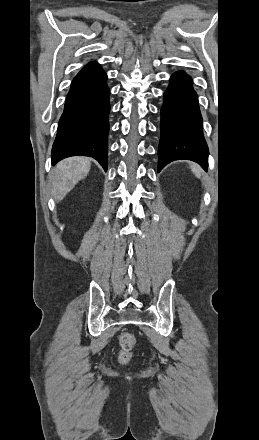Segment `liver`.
<instances>
[{"label":"liver","instance_id":"liver-1","mask_svg":"<svg viewBox=\"0 0 259 440\" xmlns=\"http://www.w3.org/2000/svg\"><path fill=\"white\" fill-rule=\"evenodd\" d=\"M91 163L87 157H70L60 161L51 174L52 194L61 201L90 171Z\"/></svg>","mask_w":259,"mask_h":440}]
</instances>
